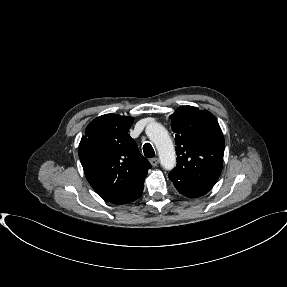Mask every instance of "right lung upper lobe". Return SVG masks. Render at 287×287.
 Here are the masks:
<instances>
[{
    "mask_svg": "<svg viewBox=\"0 0 287 287\" xmlns=\"http://www.w3.org/2000/svg\"><path fill=\"white\" fill-rule=\"evenodd\" d=\"M133 118L106 114L89 123L79 144L85 176L107 202L127 204L138 199L151 168L128 134Z\"/></svg>",
    "mask_w": 287,
    "mask_h": 287,
    "instance_id": "obj_1",
    "label": "right lung upper lobe"
}]
</instances>
